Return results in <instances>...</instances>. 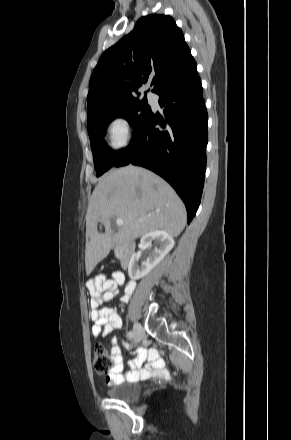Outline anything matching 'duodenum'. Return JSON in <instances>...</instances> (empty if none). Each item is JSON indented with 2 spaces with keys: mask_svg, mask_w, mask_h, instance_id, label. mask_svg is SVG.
<instances>
[{
  "mask_svg": "<svg viewBox=\"0 0 291 440\" xmlns=\"http://www.w3.org/2000/svg\"><path fill=\"white\" fill-rule=\"evenodd\" d=\"M109 239L112 241V249H120V262L123 266H128L134 256L135 243L130 239H120L117 235H111Z\"/></svg>",
  "mask_w": 291,
  "mask_h": 440,
  "instance_id": "obj_1",
  "label": "duodenum"
}]
</instances>
